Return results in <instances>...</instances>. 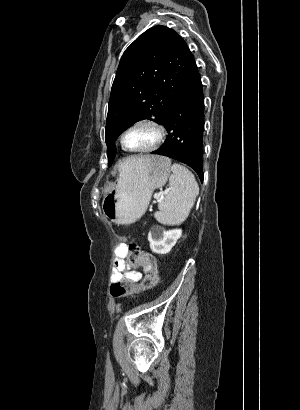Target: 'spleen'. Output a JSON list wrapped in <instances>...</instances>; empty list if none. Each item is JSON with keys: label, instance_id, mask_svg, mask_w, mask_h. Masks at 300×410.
<instances>
[{"label": "spleen", "instance_id": "spleen-1", "mask_svg": "<svg viewBox=\"0 0 300 410\" xmlns=\"http://www.w3.org/2000/svg\"><path fill=\"white\" fill-rule=\"evenodd\" d=\"M123 167L122 164L120 169ZM171 170L173 174L169 178V193L159 202V211L154 217L164 225H179L188 217L199 194V187L187 168L174 163Z\"/></svg>", "mask_w": 300, "mask_h": 410}]
</instances>
